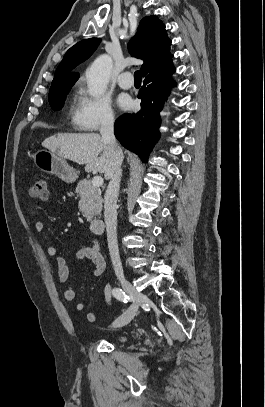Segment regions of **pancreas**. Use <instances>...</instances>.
Wrapping results in <instances>:
<instances>
[{"label":"pancreas","instance_id":"1","mask_svg":"<svg viewBox=\"0 0 265 407\" xmlns=\"http://www.w3.org/2000/svg\"><path fill=\"white\" fill-rule=\"evenodd\" d=\"M75 192L80 196L79 210L87 220L101 214L103 200L99 187L93 186L90 180L83 179L79 181Z\"/></svg>","mask_w":265,"mask_h":407}]
</instances>
